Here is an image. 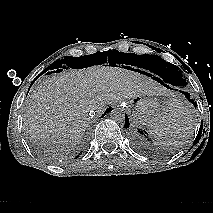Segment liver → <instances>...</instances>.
<instances>
[{"instance_id": "6515ba94", "label": "liver", "mask_w": 213, "mask_h": 213, "mask_svg": "<svg viewBox=\"0 0 213 213\" xmlns=\"http://www.w3.org/2000/svg\"><path fill=\"white\" fill-rule=\"evenodd\" d=\"M166 93L138 72L93 66L43 80L29 95L24 117L38 146L51 153L66 152L81 141L90 123L89 112L102 114L115 102Z\"/></svg>"}]
</instances>
